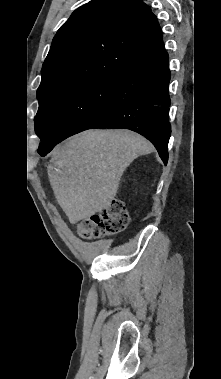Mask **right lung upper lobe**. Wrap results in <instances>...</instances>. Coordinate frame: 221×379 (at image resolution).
Returning a JSON list of instances; mask_svg holds the SVG:
<instances>
[{
	"instance_id": "obj_1",
	"label": "right lung upper lobe",
	"mask_w": 221,
	"mask_h": 379,
	"mask_svg": "<svg viewBox=\"0 0 221 379\" xmlns=\"http://www.w3.org/2000/svg\"><path fill=\"white\" fill-rule=\"evenodd\" d=\"M164 51L158 20L142 0H92L56 33L37 98L99 75H121Z\"/></svg>"
}]
</instances>
